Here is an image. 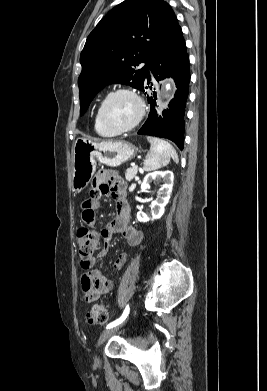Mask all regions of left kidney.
I'll use <instances>...</instances> for the list:
<instances>
[{"label":"left kidney","instance_id":"5707ae66","mask_svg":"<svg viewBox=\"0 0 267 391\" xmlns=\"http://www.w3.org/2000/svg\"><path fill=\"white\" fill-rule=\"evenodd\" d=\"M163 180V185L159 189L160 195L151 203V215L152 218L148 217L143 211L137 212V220L139 222H147L149 220H156L163 216L165 212V206L168 204L170 195L172 193L174 175L173 172L166 171H156L149 173L145 176L141 189L146 191L150 187V183L155 180Z\"/></svg>","mask_w":267,"mask_h":391}]
</instances>
